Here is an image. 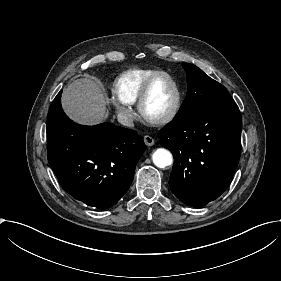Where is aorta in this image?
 <instances>
[{
	"instance_id": "obj_1",
	"label": "aorta",
	"mask_w": 281,
	"mask_h": 281,
	"mask_svg": "<svg viewBox=\"0 0 281 281\" xmlns=\"http://www.w3.org/2000/svg\"><path fill=\"white\" fill-rule=\"evenodd\" d=\"M154 165L159 168H165L173 163V157L170 151L165 148H158L152 154Z\"/></svg>"
}]
</instances>
